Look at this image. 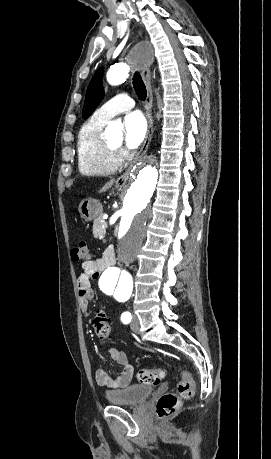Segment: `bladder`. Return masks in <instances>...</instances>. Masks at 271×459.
I'll list each match as a JSON object with an SVG mask.
<instances>
[{"label": "bladder", "instance_id": "1", "mask_svg": "<svg viewBox=\"0 0 271 459\" xmlns=\"http://www.w3.org/2000/svg\"><path fill=\"white\" fill-rule=\"evenodd\" d=\"M154 386L150 384H134L121 390L108 391L107 401L120 405H141L152 393Z\"/></svg>", "mask_w": 271, "mask_h": 459}]
</instances>
